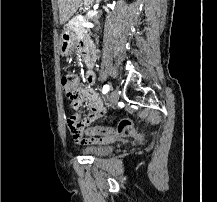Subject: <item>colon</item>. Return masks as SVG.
<instances>
[{
  "mask_svg": "<svg viewBox=\"0 0 217 202\" xmlns=\"http://www.w3.org/2000/svg\"><path fill=\"white\" fill-rule=\"evenodd\" d=\"M78 76L69 72V69H64V75L61 80L62 90L66 94L68 100L71 101V107L76 108L78 103L84 96H78L80 94L79 90H75L73 87V82H77ZM66 126L68 131H74V126H78L76 123L74 116L70 115L66 119ZM92 132H116L117 135H135L136 140H141L143 137L139 135L138 131L133 129V123L130 119L125 118L122 119L118 127H90V129L85 130L84 137L90 138Z\"/></svg>",
  "mask_w": 217,
  "mask_h": 202,
  "instance_id": "colon-1",
  "label": "colon"
}]
</instances>
